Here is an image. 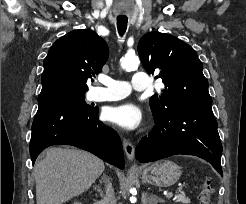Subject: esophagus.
<instances>
[{"mask_svg":"<svg viewBox=\"0 0 246 204\" xmlns=\"http://www.w3.org/2000/svg\"><path fill=\"white\" fill-rule=\"evenodd\" d=\"M123 148H124V151H125V154H126L128 160L133 161L134 160V154H135L134 145L130 141L124 139L123 140Z\"/></svg>","mask_w":246,"mask_h":204,"instance_id":"1","label":"esophagus"}]
</instances>
